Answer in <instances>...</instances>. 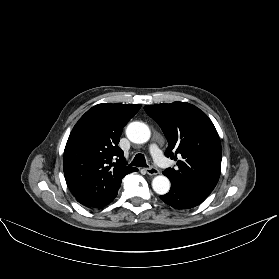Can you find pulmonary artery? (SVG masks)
<instances>
[{"mask_svg": "<svg viewBox=\"0 0 279 279\" xmlns=\"http://www.w3.org/2000/svg\"><path fill=\"white\" fill-rule=\"evenodd\" d=\"M149 153L153 156V158L155 159L156 163L161 166V167H165V159L163 157V155L161 154L159 148L157 145H151L149 147Z\"/></svg>", "mask_w": 279, "mask_h": 279, "instance_id": "obj_1", "label": "pulmonary artery"}]
</instances>
